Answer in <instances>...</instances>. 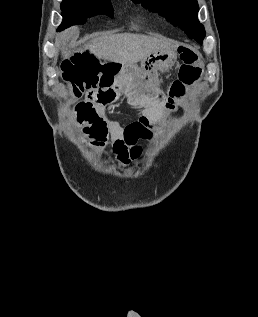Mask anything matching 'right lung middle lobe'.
<instances>
[{"instance_id":"1","label":"right lung middle lobe","mask_w":258,"mask_h":317,"mask_svg":"<svg viewBox=\"0 0 258 317\" xmlns=\"http://www.w3.org/2000/svg\"><path fill=\"white\" fill-rule=\"evenodd\" d=\"M61 10H72L86 17L105 15L113 17L110 0H63Z\"/></svg>"}]
</instances>
